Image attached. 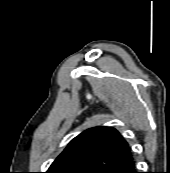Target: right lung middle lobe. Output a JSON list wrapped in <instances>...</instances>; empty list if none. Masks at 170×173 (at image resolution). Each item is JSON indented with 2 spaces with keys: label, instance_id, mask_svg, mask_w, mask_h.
<instances>
[{
  "label": "right lung middle lobe",
  "instance_id": "obj_1",
  "mask_svg": "<svg viewBox=\"0 0 170 173\" xmlns=\"http://www.w3.org/2000/svg\"><path fill=\"white\" fill-rule=\"evenodd\" d=\"M62 173H76V171H63Z\"/></svg>",
  "mask_w": 170,
  "mask_h": 173
}]
</instances>
